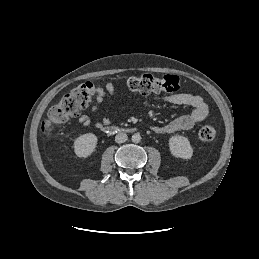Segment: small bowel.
I'll return each mask as SVG.
<instances>
[{"instance_id": "c3829d8e", "label": "small bowel", "mask_w": 259, "mask_h": 259, "mask_svg": "<svg viewBox=\"0 0 259 259\" xmlns=\"http://www.w3.org/2000/svg\"><path fill=\"white\" fill-rule=\"evenodd\" d=\"M105 90H99L96 97V102L93 104L91 111L96 114L101 104L104 102L107 94L115 97V87L112 82H107ZM163 100L180 106H187L191 108L190 113L181 115L162 126L152 127V131L157 134H172L179 131H186L192 129L197 123L205 120L209 116V107L204 99L198 95L189 93H177L163 97ZM78 122L83 126H89L91 118L88 115H81L78 117ZM110 120L106 117L96 121V127L101 129L108 125Z\"/></svg>"}]
</instances>
